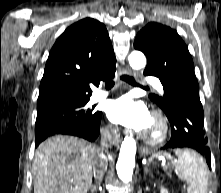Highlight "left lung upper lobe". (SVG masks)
I'll use <instances>...</instances> for the list:
<instances>
[{
    "instance_id": "obj_1",
    "label": "left lung upper lobe",
    "mask_w": 221,
    "mask_h": 193,
    "mask_svg": "<svg viewBox=\"0 0 221 193\" xmlns=\"http://www.w3.org/2000/svg\"><path fill=\"white\" fill-rule=\"evenodd\" d=\"M134 47L142 51L148 64L145 70L155 72L165 81H191L197 83L192 57L177 32L165 25L151 22L138 32ZM198 84V83H197ZM165 114L168 101L165 97L150 95Z\"/></svg>"
}]
</instances>
